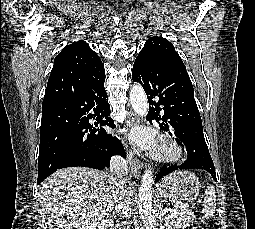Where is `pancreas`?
<instances>
[{"label": "pancreas", "instance_id": "obj_1", "mask_svg": "<svg viewBox=\"0 0 255 229\" xmlns=\"http://www.w3.org/2000/svg\"><path fill=\"white\" fill-rule=\"evenodd\" d=\"M195 216L191 211L170 213L164 222L166 229H185Z\"/></svg>", "mask_w": 255, "mask_h": 229}]
</instances>
